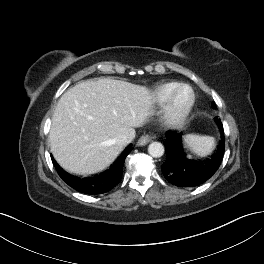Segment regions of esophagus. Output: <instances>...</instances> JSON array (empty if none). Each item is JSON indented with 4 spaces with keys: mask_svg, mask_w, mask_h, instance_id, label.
<instances>
[{
    "mask_svg": "<svg viewBox=\"0 0 264 264\" xmlns=\"http://www.w3.org/2000/svg\"><path fill=\"white\" fill-rule=\"evenodd\" d=\"M153 139H154V136H151L149 134H144L138 139L137 145L144 146L148 144L149 142H151Z\"/></svg>",
    "mask_w": 264,
    "mask_h": 264,
    "instance_id": "34e87169",
    "label": "esophagus"
}]
</instances>
